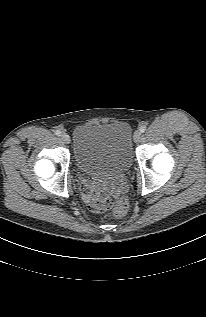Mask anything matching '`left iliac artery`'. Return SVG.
<instances>
[{
  "instance_id": "1",
  "label": "left iliac artery",
  "mask_w": 206,
  "mask_h": 317,
  "mask_svg": "<svg viewBox=\"0 0 206 317\" xmlns=\"http://www.w3.org/2000/svg\"><path fill=\"white\" fill-rule=\"evenodd\" d=\"M139 130H140L141 133H144L146 131V127L145 126H141Z\"/></svg>"
}]
</instances>
